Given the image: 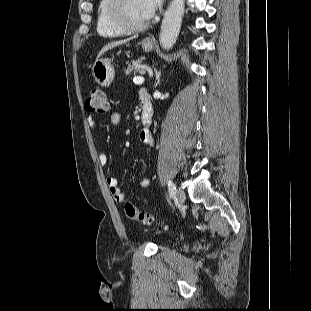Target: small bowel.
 <instances>
[{
	"instance_id": "small-bowel-1",
	"label": "small bowel",
	"mask_w": 311,
	"mask_h": 311,
	"mask_svg": "<svg viewBox=\"0 0 311 311\" xmlns=\"http://www.w3.org/2000/svg\"><path fill=\"white\" fill-rule=\"evenodd\" d=\"M143 98H148V94L146 91H143L140 96V102H142ZM142 106V103H141ZM87 122L89 127L93 132L96 131V125L94 119L90 116L87 118ZM121 122V115L118 112H113L111 115V123L114 126H118ZM139 140L144 146H150L154 143L153 134L149 129H142L139 133ZM98 160L102 166H106L108 164V157L105 153L100 152L98 155ZM142 187H147L149 184L148 179L143 178L140 181ZM106 185L109 189V192L113 199L118 202L122 203L125 201L126 197L125 194L122 192L118 185V180L116 177L109 176L106 178Z\"/></svg>"
}]
</instances>
